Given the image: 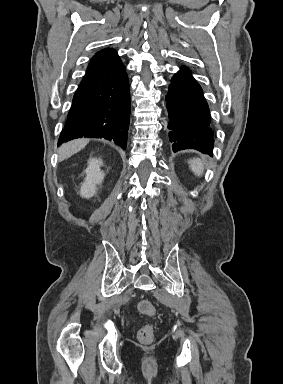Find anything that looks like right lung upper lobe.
Here are the masks:
<instances>
[{
    "label": "right lung upper lobe",
    "mask_w": 283,
    "mask_h": 384,
    "mask_svg": "<svg viewBox=\"0 0 283 384\" xmlns=\"http://www.w3.org/2000/svg\"><path fill=\"white\" fill-rule=\"evenodd\" d=\"M121 62L117 52L114 49L107 48L97 52L91 59L87 72L103 70L113 67ZM86 72V73H87Z\"/></svg>",
    "instance_id": "1"
}]
</instances>
